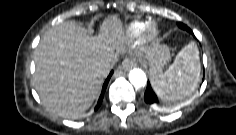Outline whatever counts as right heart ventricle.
<instances>
[{
  "label": "right heart ventricle",
  "instance_id": "e07e8e85",
  "mask_svg": "<svg viewBox=\"0 0 236 135\" xmlns=\"http://www.w3.org/2000/svg\"><path fill=\"white\" fill-rule=\"evenodd\" d=\"M145 21H132L121 30V37L124 39H135L142 35Z\"/></svg>",
  "mask_w": 236,
  "mask_h": 135
}]
</instances>
